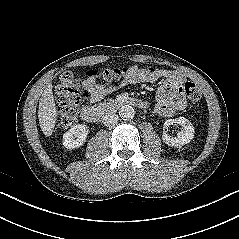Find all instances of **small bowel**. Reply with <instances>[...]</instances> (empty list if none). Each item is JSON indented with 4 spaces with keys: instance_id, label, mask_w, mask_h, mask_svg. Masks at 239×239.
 <instances>
[{
    "instance_id": "c3829d8e",
    "label": "small bowel",
    "mask_w": 239,
    "mask_h": 239,
    "mask_svg": "<svg viewBox=\"0 0 239 239\" xmlns=\"http://www.w3.org/2000/svg\"><path fill=\"white\" fill-rule=\"evenodd\" d=\"M129 70L130 75L126 83L130 84L153 83L160 78H165L157 91L156 109L159 114L168 116L184 109L185 98L181 92L180 76L155 67L131 66ZM82 88L83 96L92 103L100 101L111 92L110 88L97 84L94 70L87 72L82 81Z\"/></svg>"
}]
</instances>
